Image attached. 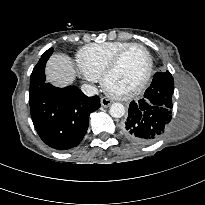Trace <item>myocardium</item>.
<instances>
[{
    "label": "myocardium",
    "mask_w": 205,
    "mask_h": 205,
    "mask_svg": "<svg viewBox=\"0 0 205 205\" xmlns=\"http://www.w3.org/2000/svg\"><path fill=\"white\" fill-rule=\"evenodd\" d=\"M133 48H141L146 53L147 58H148V67H147L146 73H145L143 79L140 81V83L135 88H133L127 92H124V93L112 91L107 85L108 79L112 75V73L117 69V67H118L120 61L122 60V58L124 57V55ZM152 72H153V58H152L150 51L147 49V47H145L142 44L132 43L129 46H127L126 48L122 49L119 53H117L114 56V58L108 64V66L106 67V69L104 70V72L101 76V84H102V87L105 90V92L107 94H109L110 96H112L116 99H122V100L130 99V98L140 94L144 90V88L147 86L148 82L150 81V78L152 76Z\"/></svg>",
    "instance_id": "obj_1"
}]
</instances>
